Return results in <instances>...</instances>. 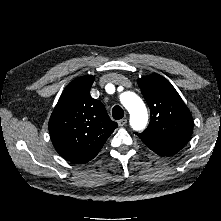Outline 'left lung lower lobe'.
<instances>
[{"label":"left lung lower lobe","mask_w":221,"mask_h":221,"mask_svg":"<svg viewBox=\"0 0 221 221\" xmlns=\"http://www.w3.org/2000/svg\"><path fill=\"white\" fill-rule=\"evenodd\" d=\"M138 136L152 151L162 156L177 153L189 140L184 138H165L146 132L140 133Z\"/></svg>","instance_id":"0a47b994"}]
</instances>
